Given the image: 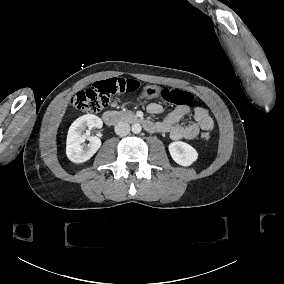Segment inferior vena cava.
Segmentation results:
<instances>
[{"label":"inferior vena cava","instance_id":"obj_1","mask_svg":"<svg viewBox=\"0 0 284 284\" xmlns=\"http://www.w3.org/2000/svg\"><path fill=\"white\" fill-rule=\"evenodd\" d=\"M130 132V125L127 122H119L115 126V133L120 136H125Z\"/></svg>","mask_w":284,"mask_h":284}]
</instances>
